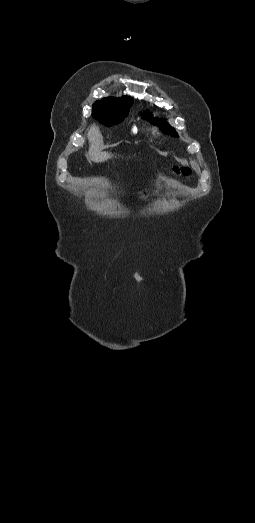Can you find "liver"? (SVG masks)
I'll list each match as a JSON object with an SVG mask.
<instances>
[{
  "instance_id": "6515ba94",
  "label": "liver",
  "mask_w": 255,
  "mask_h": 523,
  "mask_svg": "<svg viewBox=\"0 0 255 523\" xmlns=\"http://www.w3.org/2000/svg\"><path fill=\"white\" fill-rule=\"evenodd\" d=\"M87 138L90 144L87 158H89L91 162L98 164V162H106L109 158H113L112 154L102 152L103 138L97 126H91Z\"/></svg>"
}]
</instances>
